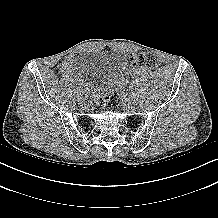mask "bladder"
Here are the masks:
<instances>
[{"label": "bladder", "mask_w": 218, "mask_h": 218, "mask_svg": "<svg viewBox=\"0 0 218 218\" xmlns=\"http://www.w3.org/2000/svg\"><path fill=\"white\" fill-rule=\"evenodd\" d=\"M80 64L94 91L110 86L119 76L118 60L113 53L84 54L80 57Z\"/></svg>", "instance_id": "1"}]
</instances>
